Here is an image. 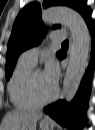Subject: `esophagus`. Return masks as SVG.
<instances>
[{"label":"esophagus","mask_w":95,"mask_h":130,"mask_svg":"<svg viewBox=\"0 0 95 130\" xmlns=\"http://www.w3.org/2000/svg\"><path fill=\"white\" fill-rule=\"evenodd\" d=\"M72 48H73V43H72V38L70 37V49H69V52L71 53L72 51ZM46 119H49L48 117H45Z\"/></svg>","instance_id":"esophagus-1"}]
</instances>
